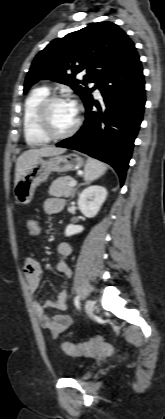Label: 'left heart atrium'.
Listing matches in <instances>:
<instances>
[{"label":"left heart atrium","mask_w":165,"mask_h":419,"mask_svg":"<svg viewBox=\"0 0 165 419\" xmlns=\"http://www.w3.org/2000/svg\"><path fill=\"white\" fill-rule=\"evenodd\" d=\"M73 104V106L75 107L76 111H77V106L74 102H71Z\"/></svg>","instance_id":"obj_1"}]
</instances>
